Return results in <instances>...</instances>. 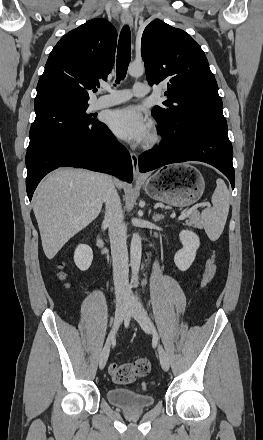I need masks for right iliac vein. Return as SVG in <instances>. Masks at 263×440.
<instances>
[{
    "label": "right iliac vein",
    "instance_id": "right-iliac-vein-1",
    "mask_svg": "<svg viewBox=\"0 0 263 440\" xmlns=\"http://www.w3.org/2000/svg\"><path fill=\"white\" fill-rule=\"evenodd\" d=\"M125 314H126V300L120 299L117 301V304H116L115 321H114L113 330L111 331V333L108 337L107 343L104 346V348L100 354V358H99V368L100 369H103L106 365V362L108 360L109 353H110V347H111V344L113 343L115 333H116L117 329L119 328V325L123 321Z\"/></svg>",
    "mask_w": 263,
    "mask_h": 440
}]
</instances>
